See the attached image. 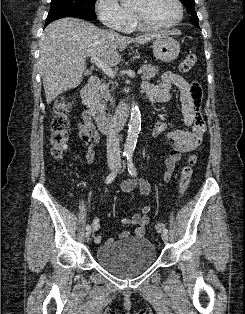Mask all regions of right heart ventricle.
<instances>
[{"instance_id": "1", "label": "right heart ventricle", "mask_w": 245, "mask_h": 314, "mask_svg": "<svg viewBox=\"0 0 245 314\" xmlns=\"http://www.w3.org/2000/svg\"><path fill=\"white\" fill-rule=\"evenodd\" d=\"M135 28H139V26L135 25L134 22H131V23L129 24L127 30H128V31H131V30H133V29H135Z\"/></svg>"}]
</instances>
